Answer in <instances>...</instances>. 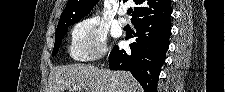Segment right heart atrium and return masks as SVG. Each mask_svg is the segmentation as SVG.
Segmentation results:
<instances>
[{
  "mask_svg": "<svg viewBox=\"0 0 225 92\" xmlns=\"http://www.w3.org/2000/svg\"><path fill=\"white\" fill-rule=\"evenodd\" d=\"M71 54L82 63L91 62L107 52V31L95 19H84L71 29Z\"/></svg>",
  "mask_w": 225,
  "mask_h": 92,
  "instance_id": "d8ad5b80",
  "label": "right heart atrium"
}]
</instances>
